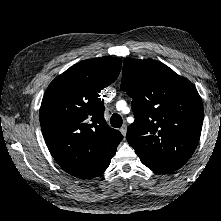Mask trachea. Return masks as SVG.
<instances>
[{
  "label": "trachea",
  "mask_w": 221,
  "mask_h": 221,
  "mask_svg": "<svg viewBox=\"0 0 221 221\" xmlns=\"http://www.w3.org/2000/svg\"><path fill=\"white\" fill-rule=\"evenodd\" d=\"M110 122H111V126L114 128H120L123 123L122 117L117 113H115L111 116Z\"/></svg>",
  "instance_id": "obj_1"
}]
</instances>
